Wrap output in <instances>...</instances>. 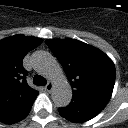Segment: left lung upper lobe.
Returning a JSON list of instances; mask_svg holds the SVG:
<instances>
[{"label":"left lung upper lobe","instance_id":"1","mask_svg":"<svg viewBox=\"0 0 128 128\" xmlns=\"http://www.w3.org/2000/svg\"><path fill=\"white\" fill-rule=\"evenodd\" d=\"M73 88L72 101L106 105L115 83V66L99 49L76 39H48Z\"/></svg>","mask_w":128,"mask_h":128}]
</instances>
